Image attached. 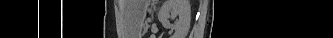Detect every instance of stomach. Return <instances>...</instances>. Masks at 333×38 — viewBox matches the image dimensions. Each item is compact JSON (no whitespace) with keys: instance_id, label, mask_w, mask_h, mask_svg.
<instances>
[{"instance_id":"1","label":"stomach","mask_w":333,"mask_h":38,"mask_svg":"<svg viewBox=\"0 0 333 38\" xmlns=\"http://www.w3.org/2000/svg\"><path fill=\"white\" fill-rule=\"evenodd\" d=\"M145 0H142L140 2V5H141V11H140V26L143 25V22H144V19H145V9H144V4H145Z\"/></svg>"}]
</instances>
